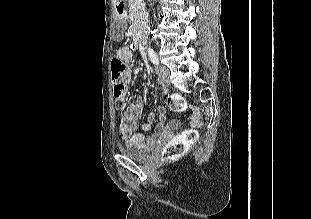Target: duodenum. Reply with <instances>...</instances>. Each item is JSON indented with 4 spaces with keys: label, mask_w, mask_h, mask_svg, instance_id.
I'll return each instance as SVG.
<instances>
[{
    "label": "duodenum",
    "mask_w": 311,
    "mask_h": 219,
    "mask_svg": "<svg viewBox=\"0 0 311 219\" xmlns=\"http://www.w3.org/2000/svg\"><path fill=\"white\" fill-rule=\"evenodd\" d=\"M117 11L119 14H124L127 11V7L124 3H120L117 7ZM143 41L144 39L142 38V36L138 37L137 42L139 46L143 45Z\"/></svg>",
    "instance_id": "1"
}]
</instances>
